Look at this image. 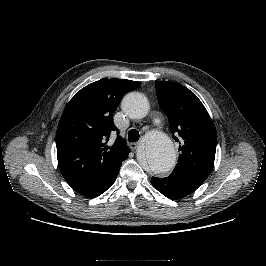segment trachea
Wrapping results in <instances>:
<instances>
[{
  "mask_svg": "<svg viewBox=\"0 0 266 266\" xmlns=\"http://www.w3.org/2000/svg\"><path fill=\"white\" fill-rule=\"evenodd\" d=\"M140 138V135H139V132L135 129H131L129 132H128V139L130 142H135V141H138Z\"/></svg>",
  "mask_w": 266,
  "mask_h": 266,
  "instance_id": "3493384b",
  "label": "trachea"
}]
</instances>
